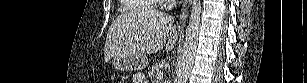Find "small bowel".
I'll list each match as a JSON object with an SVG mask.
<instances>
[{
  "instance_id": "1",
  "label": "small bowel",
  "mask_w": 307,
  "mask_h": 83,
  "mask_svg": "<svg viewBox=\"0 0 307 83\" xmlns=\"http://www.w3.org/2000/svg\"><path fill=\"white\" fill-rule=\"evenodd\" d=\"M136 83H142V81H135Z\"/></svg>"
}]
</instances>
